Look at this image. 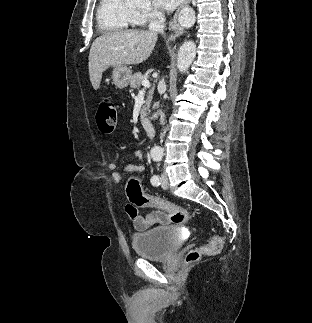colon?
Here are the masks:
<instances>
[{
  "label": "colon",
  "instance_id": "1",
  "mask_svg": "<svg viewBox=\"0 0 312 323\" xmlns=\"http://www.w3.org/2000/svg\"><path fill=\"white\" fill-rule=\"evenodd\" d=\"M96 124L100 132L104 134H111L116 130L118 125V112L114 105V101L110 97H103L99 100L96 113ZM126 182L127 196L132 204H127L125 209L131 219L137 217V211L134 209L135 206L149 204L156 209L168 212L173 223H186L190 220L191 216L186 208L155 196L144 195L140 186L142 183L141 177H127ZM222 247V239L219 237H212L205 245L190 250L186 256V261L187 263L197 262L201 254H213L218 252Z\"/></svg>",
  "mask_w": 312,
  "mask_h": 323
}]
</instances>
